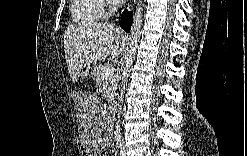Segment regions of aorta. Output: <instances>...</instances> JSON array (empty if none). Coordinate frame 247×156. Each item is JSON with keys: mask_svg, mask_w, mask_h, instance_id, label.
Instances as JSON below:
<instances>
[{"mask_svg": "<svg viewBox=\"0 0 247 156\" xmlns=\"http://www.w3.org/2000/svg\"><path fill=\"white\" fill-rule=\"evenodd\" d=\"M143 9H142V1H139L136 7L134 20L131 26L130 31V43H129V49L127 51L125 62H124V68L122 70V83H121V89H120V97H119V114L118 117H120V114L122 112V105L123 102V96L127 85V77L130 72V68L133 64L135 54H136V47L140 39L141 35V27H142V16H143Z\"/></svg>", "mask_w": 247, "mask_h": 156, "instance_id": "762f6f07", "label": "aorta"}]
</instances>
